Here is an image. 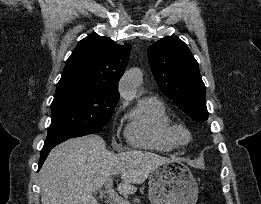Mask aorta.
Returning <instances> with one entry per match:
<instances>
[{
	"label": "aorta",
	"instance_id": "obj_1",
	"mask_svg": "<svg viewBox=\"0 0 261 204\" xmlns=\"http://www.w3.org/2000/svg\"><path fill=\"white\" fill-rule=\"evenodd\" d=\"M142 73L139 68H132L125 72L120 81V94L126 99L133 98L141 82Z\"/></svg>",
	"mask_w": 261,
	"mask_h": 204
}]
</instances>
